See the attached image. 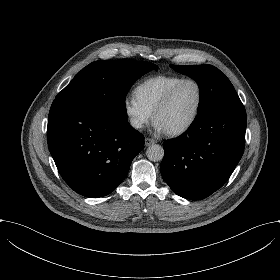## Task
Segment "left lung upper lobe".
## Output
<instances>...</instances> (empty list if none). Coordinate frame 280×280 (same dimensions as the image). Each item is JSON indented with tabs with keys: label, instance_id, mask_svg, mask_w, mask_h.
Listing matches in <instances>:
<instances>
[{
	"label": "left lung upper lobe",
	"instance_id": "obj_1",
	"mask_svg": "<svg viewBox=\"0 0 280 280\" xmlns=\"http://www.w3.org/2000/svg\"><path fill=\"white\" fill-rule=\"evenodd\" d=\"M175 71L193 78L200 88L198 115L222 104L240 100L229 79L212 65L177 66Z\"/></svg>",
	"mask_w": 280,
	"mask_h": 280
}]
</instances>
